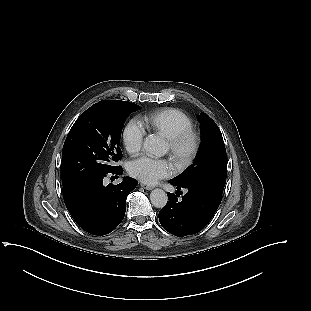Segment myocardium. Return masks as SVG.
I'll return each instance as SVG.
<instances>
[{"mask_svg":"<svg viewBox=\"0 0 311 311\" xmlns=\"http://www.w3.org/2000/svg\"><path fill=\"white\" fill-rule=\"evenodd\" d=\"M169 153L176 165L185 166L192 161L198 149V135L193 129L183 130L167 139Z\"/></svg>","mask_w":311,"mask_h":311,"instance_id":"1","label":"myocardium"}]
</instances>
